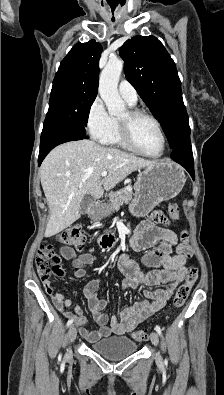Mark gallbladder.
<instances>
[{"label":"gallbladder","mask_w":224,"mask_h":395,"mask_svg":"<svg viewBox=\"0 0 224 395\" xmlns=\"http://www.w3.org/2000/svg\"><path fill=\"white\" fill-rule=\"evenodd\" d=\"M95 199L92 195L87 194L84 196L81 204H80V214H85L88 208L94 203Z\"/></svg>","instance_id":"gallbladder-1"}]
</instances>
